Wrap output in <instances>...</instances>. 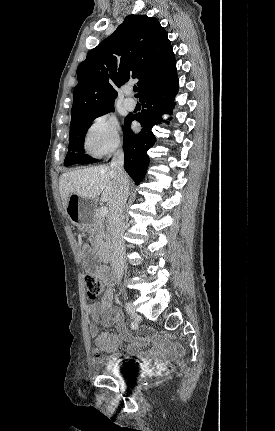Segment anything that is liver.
Here are the masks:
<instances>
[{"mask_svg": "<svg viewBox=\"0 0 275 431\" xmlns=\"http://www.w3.org/2000/svg\"><path fill=\"white\" fill-rule=\"evenodd\" d=\"M116 189V182L109 166L99 165L63 173L59 180V191L64 209L71 194L86 199H95L101 194V201H110Z\"/></svg>", "mask_w": 275, "mask_h": 431, "instance_id": "obj_1", "label": "liver"}]
</instances>
